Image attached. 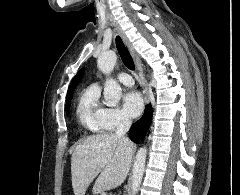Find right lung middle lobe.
<instances>
[{
	"label": "right lung middle lobe",
	"instance_id": "right-lung-middle-lobe-1",
	"mask_svg": "<svg viewBox=\"0 0 240 195\" xmlns=\"http://www.w3.org/2000/svg\"><path fill=\"white\" fill-rule=\"evenodd\" d=\"M69 108H70V103H68V104L66 105V114H67V115L69 114Z\"/></svg>",
	"mask_w": 240,
	"mask_h": 195
}]
</instances>
